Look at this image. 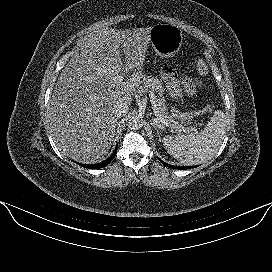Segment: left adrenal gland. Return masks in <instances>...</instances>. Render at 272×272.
Masks as SVG:
<instances>
[{"label": "left adrenal gland", "instance_id": "a2214340", "mask_svg": "<svg viewBox=\"0 0 272 272\" xmlns=\"http://www.w3.org/2000/svg\"><path fill=\"white\" fill-rule=\"evenodd\" d=\"M151 125H152V126L154 127V129L156 130L157 136L159 137L158 140L161 142L160 132H159V129H158V128H160V125L157 124V123L154 122V121H151Z\"/></svg>", "mask_w": 272, "mask_h": 272}]
</instances>
